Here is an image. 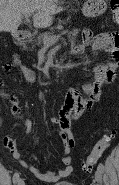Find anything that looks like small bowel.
Returning a JSON list of instances; mask_svg holds the SVG:
<instances>
[{"instance_id":"1","label":"small bowel","mask_w":119,"mask_h":185,"mask_svg":"<svg viewBox=\"0 0 119 185\" xmlns=\"http://www.w3.org/2000/svg\"><path fill=\"white\" fill-rule=\"evenodd\" d=\"M86 47H91L94 51L108 52L110 60L95 68L94 82L83 87L85 96H81L76 89L70 90L59 116L51 119V123L62 142L61 167L53 171L39 169L25 158V155L29 153L28 150L17 147L11 136H5L3 139L14 158L43 182H55L71 174L73 169L70 165V153L74 146L71 121L78 118L84 110L91 108L100 99L102 87L112 83L115 79V72L119 64V33L110 31L96 34L92 30L86 29L82 32V44L76 47V51L81 52ZM13 67H18L21 70L26 83L31 84L36 81L35 72L24 65L18 57H14L10 63L4 65L5 70H10ZM2 96L9 100L14 116L24 126L26 132L34 131V123L22 114L19 99L5 90L2 92ZM31 157L36 162L49 158L47 155L38 156L35 154H31Z\"/></svg>"}]
</instances>
